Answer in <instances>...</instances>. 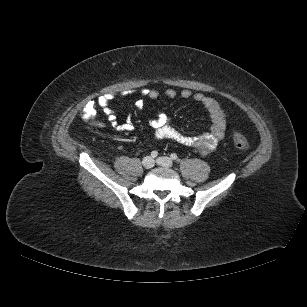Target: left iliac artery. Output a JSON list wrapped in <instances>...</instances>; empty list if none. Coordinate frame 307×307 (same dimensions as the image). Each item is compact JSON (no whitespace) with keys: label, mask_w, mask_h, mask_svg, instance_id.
I'll use <instances>...</instances> for the list:
<instances>
[{"label":"left iliac artery","mask_w":307,"mask_h":307,"mask_svg":"<svg viewBox=\"0 0 307 307\" xmlns=\"http://www.w3.org/2000/svg\"><path fill=\"white\" fill-rule=\"evenodd\" d=\"M170 157H171L172 160H177V159H178V156H177L176 153H172V154L170 155Z\"/></svg>","instance_id":"obj_1"}]
</instances>
